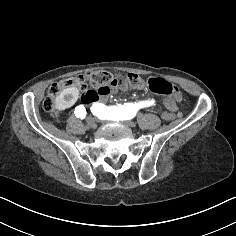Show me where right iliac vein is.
I'll return each mask as SVG.
<instances>
[{
	"label": "right iliac vein",
	"instance_id": "1",
	"mask_svg": "<svg viewBox=\"0 0 236 236\" xmlns=\"http://www.w3.org/2000/svg\"><path fill=\"white\" fill-rule=\"evenodd\" d=\"M86 125H87L89 128L93 129V130L96 129V127H97V126H96V125H97L96 122L93 121L92 118H91V119H88V118L86 119Z\"/></svg>",
	"mask_w": 236,
	"mask_h": 236
}]
</instances>
